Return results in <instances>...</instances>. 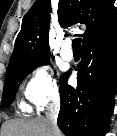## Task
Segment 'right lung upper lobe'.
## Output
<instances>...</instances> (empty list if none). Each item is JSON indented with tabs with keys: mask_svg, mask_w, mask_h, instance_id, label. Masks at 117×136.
Listing matches in <instances>:
<instances>
[{
	"mask_svg": "<svg viewBox=\"0 0 117 136\" xmlns=\"http://www.w3.org/2000/svg\"><path fill=\"white\" fill-rule=\"evenodd\" d=\"M115 0H59V24L67 28L86 25L83 42L117 24ZM51 1L36 0L22 20L9 65L18 61L50 57L48 31ZM8 65V66H9Z\"/></svg>",
	"mask_w": 117,
	"mask_h": 136,
	"instance_id": "right-lung-upper-lobe-1",
	"label": "right lung upper lobe"
}]
</instances>
